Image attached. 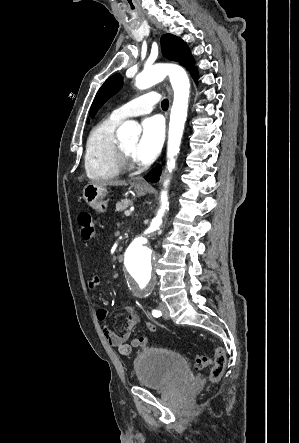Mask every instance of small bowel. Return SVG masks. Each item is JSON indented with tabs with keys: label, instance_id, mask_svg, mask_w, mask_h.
Instances as JSON below:
<instances>
[{
	"label": "small bowel",
	"instance_id": "c3829d8e",
	"mask_svg": "<svg viewBox=\"0 0 299 443\" xmlns=\"http://www.w3.org/2000/svg\"><path fill=\"white\" fill-rule=\"evenodd\" d=\"M99 281H100L99 276L94 275L90 281V287L92 289H95L98 286ZM124 310L127 312V318L123 325L121 333L117 334L112 330L108 329L107 327H104V333L108 343L111 346L118 348L122 354L128 355L130 354L132 348H141L148 346L151 341L148 332H155L157 330V326L153 323L148 322L145 324V328L147 331L146 333L131 338L133 330L139 322V316L131 306H125ZM107 315L108 311L104 308H99L96 311V316L100 321H105ZM129 339H130V344H127L126 342Z\"/></svg>",
	"mask_w": 299,
	"mask_h": 443
}]
</instances>
